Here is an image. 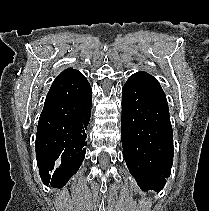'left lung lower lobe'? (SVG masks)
<instances>
[{
  "label": "left lung lower lobe",
  "instance_id": "1",
  "mask_svg": "<svg viewBox=\"0 0 209 211\" xmlns=\"http://www.w3.org/2000/svg\"><path fill=\"white\" fill-rule=\"evenodd\" d=\"M121 140L140 188L162 190L173 164V131L165 93L146 72L134 73L123 86Z\"/></svg>",
  "mask_w": 209,
  "mask_h": 211
}]
</instances>
